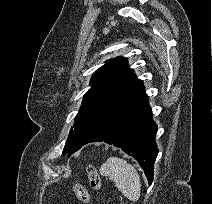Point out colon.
<instances>
[{"instance_id": "colon-1", "label": "colon", "mask_w": 212, "mask_h": 204, "mask_svg": "<svg viewBox=\"0 0 212 204\" xmlns=\"http://www.w3.org/2000/svg\"><path fill=\"white\" fill-rule=\"evenodd\" d=\"M87 173L91 187L95 190H100L102 188V182L95 166H88ZM73 191L81 202L85 204L90 202V194L82 184L75 182L73 185Z\"/></svg>"}]
</instances>
